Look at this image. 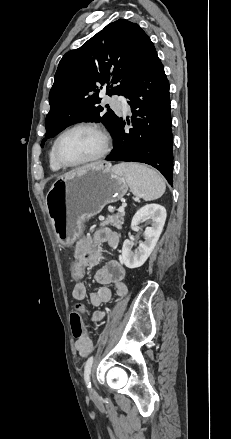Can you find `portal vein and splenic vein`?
I'll return each instance as SVG.
<instances>
[{
  "mask_svg": "<svg viewBox=\"0 0 231 439\" xmlns=\"http://www.w3.org/2000/svg\"><path fill=\"white\" fill-rule=\"evenodd\" d=\"M125 207H126V203H123L122 206L119 207L118 212L124 213Z\"/></svg>",
  "mask_w": 231,
  "mask_h": 439,
  "instance_id": "obj_1",
  "label": "portal vein and splenic vein"
}]
</instances>
